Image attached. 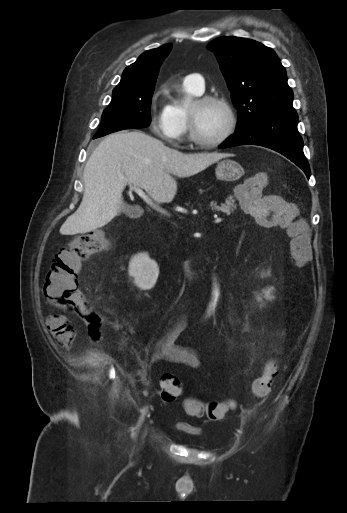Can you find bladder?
Here are the masks:
<instances>
[{
  "instance_id": "obj_1",
  "label": "bladder",
  "mask_w": 347,
  "mask_h": 513,
  "mask_svg": "<svg viewBox=\"0 0 347 513\" xmlns=\"http://www.w3.org/2000/svg\"><path fill=\"white\" fill-rule=\"evenodd\" d=\"M177 428L180 430V431H183L185 433H188V434H192V435H200V430L191 426L190 424L186 423V422H179L177 424Z\"/></svg>"
}]
</instances>
